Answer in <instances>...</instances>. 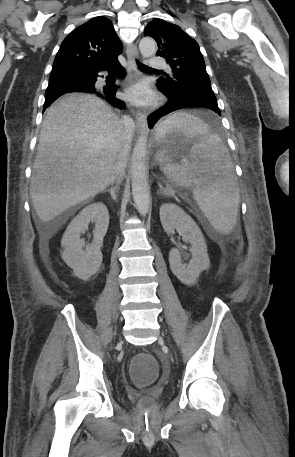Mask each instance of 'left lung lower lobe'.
I'll return each instance as SVG.
<instances>
[{
  "label": "left lung lower lobe",
  "instance_id": "1",
  "mask_svg": "<svg viewBox=\"0 0 295 457\" xmlns=\"http://www.w3.org/2000/svg\"><path fill=\"white\" fill-rule=\"evenodd\" d=\"M164 94L169 98L168 104L160 110H157L156 112L149 115L148 123L150 126H153L162 116L175 110L190 106L209 108L212 111L216 112L218 115H221L220 109L217 105V99L212 93L190 94L179 97L169 93Z\"/></svg>",
  "mask_w": 295,
  "mask_h": 457
}]
</instances>
